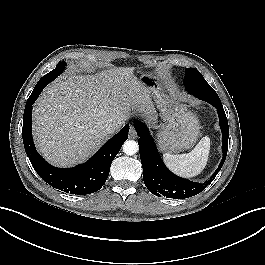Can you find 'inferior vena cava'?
Listing matches in <instances>:
<instances>
[{
	"mask_svg": "<svg viewBox=\"0 0 265 265\" xmlns=\"http://www.w3.org/2000/svg\"><path fill=\"white\" fill-rule=\"evenodd\" d=\"M117 129V126L115 124H109L106 126L105 128V131L108 133V134H113Z\"/></svg>",
	"mask_w": 265,
	"mask_h": 265,
	"instance_id": "602c4592",
	"label": "inferior vena cava"
}]
</instances>
